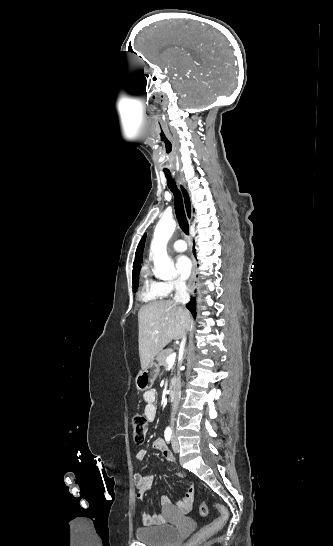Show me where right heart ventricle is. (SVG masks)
<instances>
[{"mask_svg": "<svg viewBox=\"0 0 333 546\" xmlns=\"http://www.w3.org/2000/svg\"><path fill=\"white\" fill-rule=\"evenodd\" d=\"M163 295L159 291L158 282L152 277L148 265L141 270L140 298L145 303H154L160 300Z\"/></svg>", "mask_w": 333, "mask_h": 546, "instance_id": "obj_1", "label": "right heart ventricle"}]
</instances>
